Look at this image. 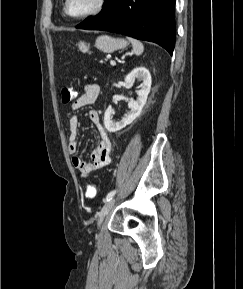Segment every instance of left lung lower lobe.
Returning a JSON list of instances; mask_svg holds the SVG:
<instances>
[{
  "instance_id": "0a47b994",
  "label": "left lung lower lobe",
  "mask_w": 243,
  "mask_h": 289,
  "mask_svg": "<svg viewBox=\"0 0 243 289\" xmlns=\"http://www.w3.org/2000/svg\"><path fill=\"white\" fill-rule=\"evenodd\" d=\"M175 0H105L98 15L76 28L105 30L151 41L172 55L175 39Z\"/></svg>"
}]
</instances>
